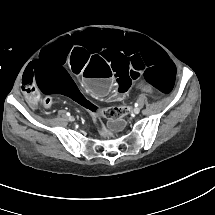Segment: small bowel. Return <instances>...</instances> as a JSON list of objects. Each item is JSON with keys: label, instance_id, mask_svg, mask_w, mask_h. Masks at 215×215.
Here are the masks:
<instances>
[{"label": "small bowel", "instance_id": "c3829d8e", "mask_svg": "<svg viewBox=\"0 0 215 215\" xmlns=\"http://www.w3.org/2000/svg\"><path fill=\"white\" fill-rule=\"evenodd\" d=\"M113 98L115 101H122L123 99V94L119 93V92H115L113 94ZM28 102L29 104L32 106V107H36L38 105V97L33 95V96H30L29 99H28ZM77 102V100H76ZM78 103V102H77Z\"/></svg>", "mask_w": 215, "mask_h": 215}]
</instances>
